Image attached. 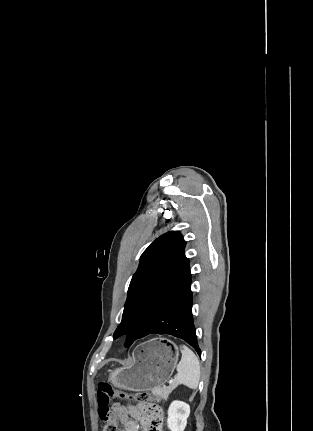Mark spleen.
I'll return each mask as SVG.
<instances>
[{
  "label": "spleen",
  "instance_id": "obj_1",
  "mask_svg": "<svg viewBox=\"0 0 313 431\" xmlns=\"http://www.w3.org/2000/svg\"><path fill=\"white\" fill-rule=\"evenodd\" d=\"M182 358L177 365L176 380L190 389H197L200 380V364L196 355L187 346L181 345Z\"/></svg>",
  "mask_w": 313,
  "mask_h": 431
}]
</instances>
